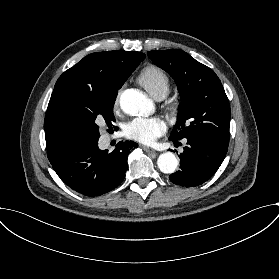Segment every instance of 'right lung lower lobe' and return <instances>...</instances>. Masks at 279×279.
Here are the masks:
<instances>
[{
	"mask_svg": "<svg viewBox=\"0 0 279 279\" xmlns=\"http://www.w3.org/2000/svg\"><path fill=\"white\" fill-rule=\"evenodd\" d=\"M137 146L133 141H121L108 154L107 150L98 148L97 140L82 150L57 158L51 164L66 185L84 196L95 197L122 183L128 168L127 156Z\"/></svg>",
	"mask_w": 279,
	"mask_h": 279,
	"instance_id": "right-lung-lower-lobe-1",
	"label": "right lung lower lobe"
}]
</instances>
